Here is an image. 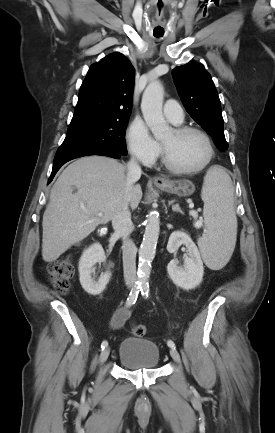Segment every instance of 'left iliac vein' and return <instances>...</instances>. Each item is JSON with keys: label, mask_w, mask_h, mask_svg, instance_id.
Wrapping results in <instances>:
<instances>
[{"label": "left iliac vein", "mask_w": 275, "mask_h": 433, "mask_svg": "<svg viewBox=\"0 0 275 433\" xmlns=\"http://www.w3.org/2000/svg\"><path fill=\"white\" fill-rule=\"evenodd\" d=\"M170 355L175 362L180 363V355L175 348L170 349Z\"/></svg>", "instance_id": "4c4485c4"}]
</instances>
